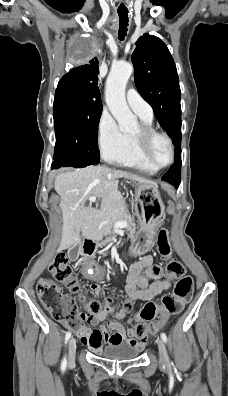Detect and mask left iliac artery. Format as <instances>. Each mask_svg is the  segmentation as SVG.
Returning <instances> with one entry per match:
<instances>
[{
  "label": "left iliac artery",
  "instance_id": "44dca946",
  "mask_svg": "<svg viewBox=\"0 0 228 396\" xmlns=\"http://www.w3.org/2000/svg\"><path fill=\"white\" fill-rule=\"evenodd\" d=\"M161 338L165 343L167 342V336L164 332L161 333Z\"/></svg>",
  "mask_w": 228,
  "mask_h": 396
}]
</instances>
